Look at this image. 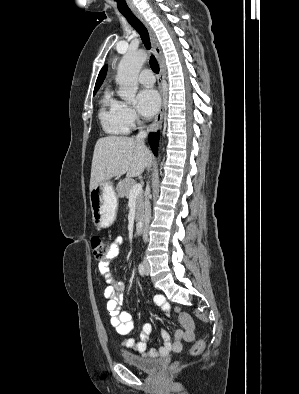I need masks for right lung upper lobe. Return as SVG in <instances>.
I'll use <instances>...</instances> for the list:
<instances>
[{"label":"right lung upper lobe","mask_w":299,"mask_h":394,"mask_svg":"<svg viewBox=\"0 0 299 394\" xmlns=\"http://www.w3.org/2000/svg\"><path fill=\"white\" fill-rule=\"evenodd\" d=\"M106 71H107V66H104L97 78L96 84H95V88H94V94L97 92V90L99 89V87L101 86L105 76H106Z\"/></svg>","instance_id":"1"}]
</instances>
